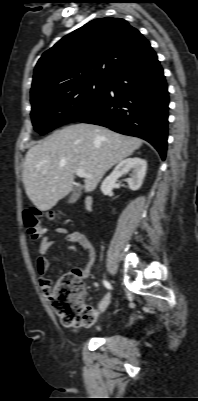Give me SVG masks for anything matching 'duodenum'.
Wrapping results in <instances>:
<instances>
[{
	"label": "duodenum",
	"instance_id": "duodenum-1",
	"mask_svg": "<svg viewBox=\"0 0 198 401\" xmlns=\"http://www.w3.org/2000/svg\"><path fill=\"white\" fill-rule=\"evenodd\" d=\"M93 203H94L93 196L88 195L86 197V201H85V207H86L87 211H91L93 209Z\"/></svg>",
	"mask_w": 198,
	"mask_h": 401
}]
</instances>
